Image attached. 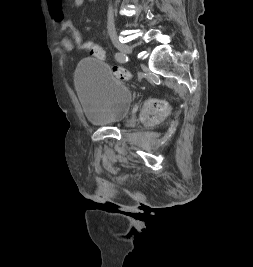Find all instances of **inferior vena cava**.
<instances>
[{
    "instance_id": "obj_1",
    "label": "inferior vena cava",
    "mask_w": 253,
    "mask_h": 267,
    "mask_svg": "<svg viewBox=\"0 0 253 267\" xmlns=\"http://www.w3.org/2000/svg\"><path fill=\"white\" fill-rule=\"evenodd\" d=\"M108 24H107V28L108 30H114V12H113V8H109L108 10Z\"/></svg>"
}]
</instances>
